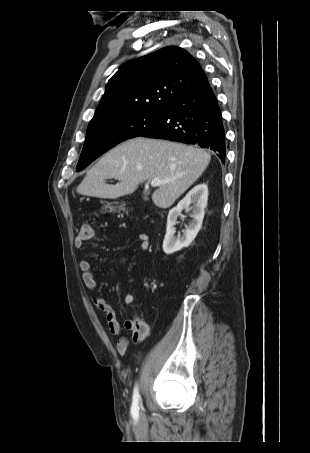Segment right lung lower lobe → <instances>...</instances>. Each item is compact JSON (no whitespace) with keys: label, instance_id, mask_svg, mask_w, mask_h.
Segmentation results:
<instances>
[{"label":"right lung lower lobe","instance_id":"obj_1","mask_svg":"<svg viewBox=\"0 0 310 453\" xmlns=\"http://www.w3.org/2000/svg\"><path fill=\"white\" fill-rule=\"evenodd\" d=\"M142 137L198 144L225 162V130L216 96L205 76L193 89L173 101Z\"/></svg>","mask_w":310,"mask_h":453}]
</instances>
